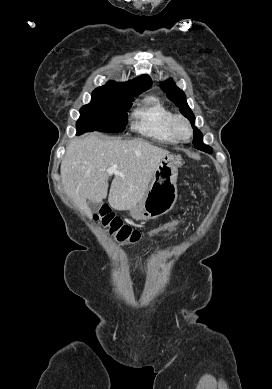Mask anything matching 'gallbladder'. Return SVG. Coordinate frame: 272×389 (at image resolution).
<instances>
[{
    "label": "gallbladder",
    "instance_id": "obj_1",
    "mask_svg": "<svg viewBox=\"0 0 272 389\" xmlns=\"http://www.w3.org/2000/svg\"><path fill=\"white\" fill-rule=\"evenodd\" d=\"M89 209L93 212L96 213L99 211L101 208V202H93V201H87Z\"/></svg>",
    "mask_w": 272,
    "mask_h": 389
}]
</instances>
